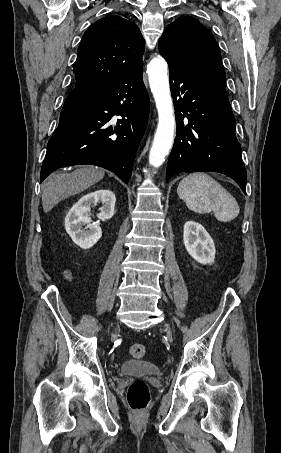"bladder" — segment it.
<instances>
[{
    "mask_svg": "<svg viewBox=\"0 0 281 453\" xmlns=\"http://www.w3.org/2000/svg\"><path fill=\"white\" fill-rule=\"evenodd\" d=\"M122 374L135 376H156L159 374V369L144 361H125L120 368Z\"/></svg>",
    "mask_w": 281,
    "mask_h": 453,
    "instance_id": "obj_1",
    "label": "bladder"
}]
</instances>
